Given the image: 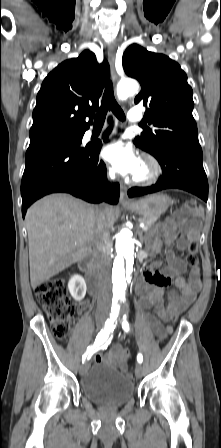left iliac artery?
Here are the masks:
<instances>
[{"instance_id":"44dca946","label":"left iliac artery","mask_w":221,"mask_h":448,"mask_svg":"<svg viewBox=\"0 0 221 448\" xmlns=\"http://www.w3.org/2000/svg\"><path fill=\"white\" fill-rule=\"evenodd\" d=\"M114 317L117 318V315L114 316ZM122 328H123V330H124L125 332H128V331L130 330L129 323H128L127 320H126V316L123 317ZM137 361H138L139 363H142V361H143V356H142V354L139 353V354L137 355Z\"/></svg>"}]
</instances>
